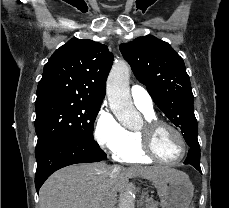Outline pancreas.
Segmentation results:
<instances>
[{"mask_svg":"<svg viewBox=\"0 0 229 208\" xmlns=\"http://www.w3.org/2000/svg\"><path fill=\"white\" fill-rule=\"evenodd\" d=\"M145 202H146L145 208H158L159 206V202H155L153 198H146Z\"/></svg>","mask_w":229,"mask_h":208,"instance_id":"pancreas-1","label":"pancreas"}]
</instances>
